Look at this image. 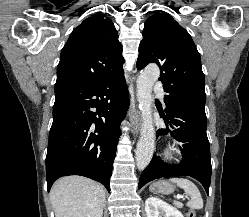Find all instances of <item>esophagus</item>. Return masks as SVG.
<instances>
[{
    "label": "esophagus",
    "mask_w": 249,
    "mask_h": 217,
    "mask_svg": "<svg viewBox=\"0 0 249 217\" xmlns=\"http://www.w3.org/2000/svg\"><path fill=\"white\" fill-rule=\"evenodd\" d=\"M129 120H130V125L132 127L133 132L138 133L139 128H140L139 111L137 110L135 113L130 112Z\"/></svg>",
    "instance_id": "1"
}]
</instances>
